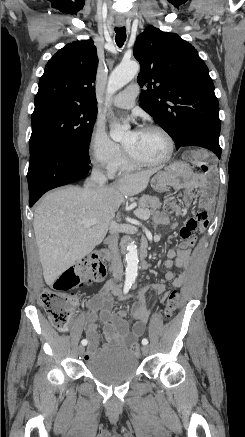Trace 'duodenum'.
<instances>
[{"instance_id": "410a0bca", "label": "duodenum", "mask_w": 245, "mask_h": 437, "mask_svg": "<svg viewBox=\"0 0 245 437\" xmlns=\"http://www.w3.org/2000/svg\"><path fill=\"white\" fill-rule=\"evenodd\" d=\"M108 240H110V239H108ZM147 254H148L147 245L143 244L140 247V251H139V256H140V260H141L140 266L142 269H146L150 266V263L147 260ZM101 256L106 260H111L113 258V252L110 249L106 248V249L102 250Z\"/></svg>"}]
</instances>
